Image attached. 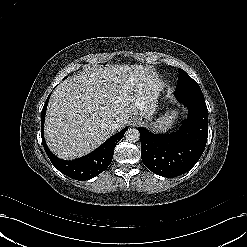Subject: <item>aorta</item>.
<instances>
[{"mask_svg":"<svg viewBox=\"0 0 247 247\" xmlns=\"http://www.w3.org/2000/svg\"><path fill=\"white\" fill-rule=\"evenodd\" d=\"M140 133L137 129H128L125 133V138L128 142H137L139 140Z\"/></svg>","mask_w":247,"mask_h":247,"instance_id":"aorta-1","label":"aorta"}]
</instances>
